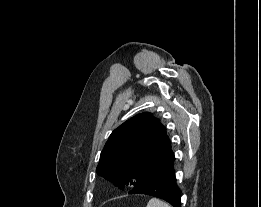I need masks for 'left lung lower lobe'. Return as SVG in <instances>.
I'll use <instances>...</instances> for the list:
<instances>
[{
	"label": "left lung lower lobe",
	"mask_w": 261,
	"mask_h": 207,
	"mask_svg": "<svg viewBox=\"0 0 261 207\" xmlns=\"http://www.w3.org/2000/svg\"><path fill=\"white\" fill-rule=\"evenodd\" d=\"M129 194L151 195L165 200L173 207H181V190L176 183L174 163L137 184Z\"/></svg>",
	"instance_id": "left-lung-lower-lobe-1"
}]
</instances>
